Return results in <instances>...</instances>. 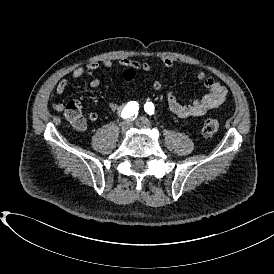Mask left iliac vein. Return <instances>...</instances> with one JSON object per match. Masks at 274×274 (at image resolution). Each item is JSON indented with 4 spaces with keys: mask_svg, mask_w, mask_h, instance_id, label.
<instances>
[{
    "mask_svg": "<svg viewBox=\"0 0 274 274\" xmlns=\"http://www.w3.org/2000/svg\"><path fill=\"white\" fill-rule=\"evenodd\" d=\"M135 123L140 128H151L152 127L151 122L147 118H144V117L137 118Z\"/></svg>",
    "mask_w": 274,
    "mask_h": 274,
    "instance_id": "left-iliac-vein-1",
    "label": "left iliac vein"
}]
</instances>
